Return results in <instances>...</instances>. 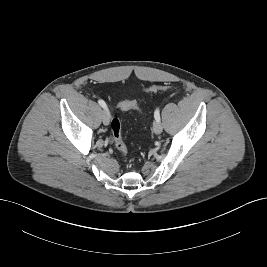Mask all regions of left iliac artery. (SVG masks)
Wrapping results in <instances>:
<instances>
[{
  "label": "left iliac artery",
  "instance_id": "obj_1",
  "mask_svg": "<svg viewBox=\"0 0 267 267\" xmlns=\"http://www.w3.org/2000/svg\"><path fill=\"white\" fill-rule=\"evenodd\" d=\"M154 117L156 121H160V110L157 108L154 112Z\"/></svg>",
  "mask_w": 267,
  "mask_h": 267
}]
</instances>
